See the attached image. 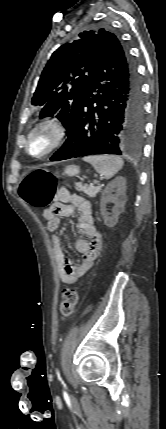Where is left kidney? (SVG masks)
Segmentation results:
<instances>
[{"instance_id":"obj_1","label":"left kidney","mask_w":166,"mask_h":429,"mask_svg":"<svg viewBox=\"0 0 166 429\" xmlns=\"http://www.w3.org/2000/svg\"><path fill=\"white\" fill-rule=\"evenodd\" d=\"M126 200V179L119 176L106 186L101 196V214L107 227L112 228L118 223L119 215L125 210ZM109 202L114 203L112 214H109L106 209Z\"/></svg>"}]
</instances>
